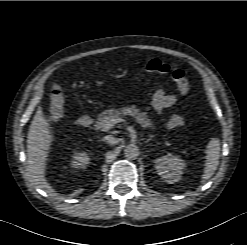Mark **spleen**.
<instances>
[{
	"mask_svg": "<svg viewBox=\"0 0 247 245\" xmlns=\"http://www.w3.org/2000/svg\"><path fill=\"white\" fill-rule=\"evenodd\" d=\"M205 154L206 160L202 175V183H205L208 179H210L217 170L220 157V140L217 138L210 140L206 147Z\"/></svg>",
	"mask_w": 247,
	"mask_h": 245,
	"instance_id": "1",
	"label": "spleen"
}]
</instances>
